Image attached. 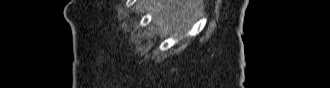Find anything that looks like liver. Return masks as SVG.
<instances>
[{
	"label": "liver",
	"mask_w": 330,
	"mask_h": 88,
	"mask_svg": "<svg viewBox=\"0 0 330 88\" xmlns=\"http://www.w3.org/2000/svg\"><path fill=\"white\" fill-rule=\"evenodd\" d=\"M203 8L201 0H158L153 8L155 18L182 31L189 27Z\"/></svg>",
	"instance_id": "liver-1"
}]
</instances>
